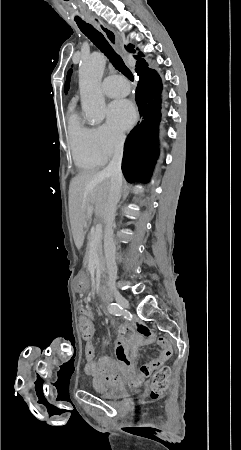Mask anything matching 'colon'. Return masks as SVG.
<instances>
[{
	"label": "colon",
	"mask_w": 241,
	"mask_h": 450,
	"mask_svg": "<svg viewBox=\"0 0 241 450\" xmlns=\"http://www.w3.org/2000/svg\"><path fill=\"white\" fill-rule=\"evenodd\" d=\"M79 335L85 336L86 338H91L93 336V320L91 318H86L84 323L79 324ZM173 370L170 367L165 368L164 373L155 371L152 381L149 386V398L152 401L161 399L167 388L169 376L172 375Z\"/></svg>",
	"instance_id": "colon-1"
}]
</instances>
